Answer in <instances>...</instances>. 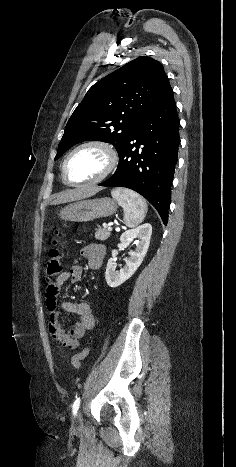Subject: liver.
I'll return each mask as SVG.
<instances>
[{
  "mask_svg": "<svg viewBox=\"0 0 236 467\" xmlns=\"http://www.w3.org/2000/svg\"><path fill=\"white\" fill-rule=\"evenodd\" d=\"M101 188L98 187H87L83 186L75 190H68L56 195L55 199L51 202V205H59L71 201L81 200L90 196L95 195Z\"/></svg>",
  "mask_w": 236,
  "mask_h": 467,
  "instance_id": "liver-1",
  "label": "liver"
}]
</instances>
